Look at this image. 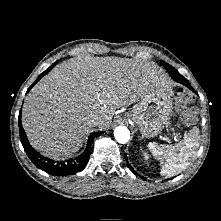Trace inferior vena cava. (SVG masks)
I'll use <instances>...</instances> for the list:
<instances>
[{
	"mask_svg": "<svg viewBox=\"0 0 221 221\" xmlns=\"http://www.w3.org/2000/svg\"><path fill=\"white\" fill-rule=\"evenodd\" d=\"M100 124V119L97 118V117H94V118H91L89 121H88V125L89 126H97Z\"/></svg>",
	"mask_w": 221,
	"mask_h": 221,
	"instance_id": "1",
	"label": "inferior vena cava"
}]
</instances>
